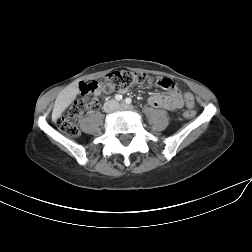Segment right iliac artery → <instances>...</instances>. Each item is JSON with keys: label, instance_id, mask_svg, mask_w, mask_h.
Wrapping results in <instances>:
<instances>
[{"label": "right iliac artery", "instance_id": "right-iliac-artery-1", "mask_svg": "<svg viewBox=\"0 0 252 252\" xmlns=\"http://www.w3.org/2000/svg\"><path fill=\"white\" fill-rule=\"evenodd\" d=\"M115 99H116L117 101H121V100H122V95L117 94V95L115 96Z\"/></svg>", "mask_w": 252, "mask_h": 252}]
</instances>
